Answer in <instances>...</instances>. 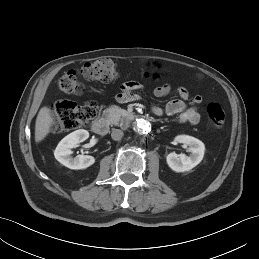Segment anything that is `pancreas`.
I'll list each match as a JSON object with an SVG mask.
<instances>
[{
	"mask_svg": "<svg viewBox=\"0 0 259 259\" xmlns=\"http://www.w3.org/2000/svg\"><path fill=\"white\" fill-rule=\"evenodd\" d=\"M103 116L113 125L126 127L131 117V113L118 106H111L104 110Z\"/></svg>",
	"mask_w": 259,
	"mask_h": 259,
	"instance_id": "pancreas-1",
	"label": "pancreas"
}]
</instances>
